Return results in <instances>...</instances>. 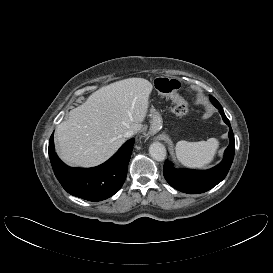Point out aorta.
Returning <instances> with one entry per match:
<instances>
[{"label": "aorta", "mask_w": 273, "mask_h": 273, "mask_svg": "<svg viewBox=\"0 0 273 273\" xmlns=\"http://www.w3.org/2000/svg\"><path fill=\"white\" fill-rule=\"evenodd\" d=\"M150 156L156 161H163L166 157V148L160 142H154L149 147Z\"/></svg>", "instance_id": "1"}]
</instances>
